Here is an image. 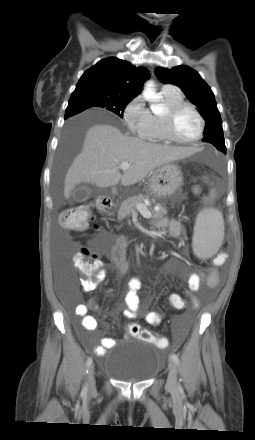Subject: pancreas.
Listing matches in <instances>:
<instances>
[{"instance_id": "cf45deb5", "label": "pancreas", "mask_w": 255, "mask_h": 440, "mask_svg": "<svg viewBox=\"0 0 255 440\" xmlns=\"http://www.w3.org/2000/svg\"><path fill=\"white\" fill-rule=\"evenodd\" d=\"M148 196L138 195L133 196L125 201L122 202L119 210H118V219H124L126 217H129L134 210L136 209L137 204H144L145 200H148ZM157 207L159 208L157 211L152 210L153 218L159 219L163 218L167 214V210L165 207L161 206L160 204H157Z\"/></svg>"}]
</instances>
